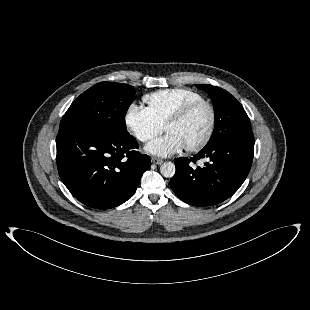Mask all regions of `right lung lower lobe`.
Here are the masks:
<instances>
[{
  "mask_svg": "<svg viewBox=\"0 0 310 310\" xmlns=\"http://www.w3.org/2000/svg\"><path fill=\"white\" fill-rule=\"evenodd\" d=\"M59 176L71 194L95 209H110L127 201L151 164L136 149L132 135L113 137L80 127L57 135Z\"/></svg>",
  "mask_w": 310,
  "mask_h": 310,
  "instance_id": "right-lung-lower-lobe-1",
  "label": "right lung lower lobe"
}]
</instances>
